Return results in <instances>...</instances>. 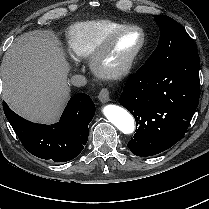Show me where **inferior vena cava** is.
<instances>
[{
  "label": "inferior vena cava",
  "instance_id": "1",
  "mask_svg": "<svg viewBox=\"0 0 209 209\" xmlns=\"http://www.w3.org/2000/svg\"><path fill=\"white\" fill-rule=\"evenodd\" d=\"M71 83L74 86L80 87V86H85L87 83V79L83 75H73L71 77Z\"/></svg>",
  "mask_w": 209,
  "mask_h": 209
}]
</instances>
